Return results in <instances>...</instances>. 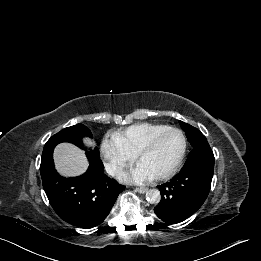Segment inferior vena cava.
Listing matches in <instances>:
<instances>
[{
    "label": "inferior vena cava",
    "mask_w": 261,
    "mask_h": 261,
    "mask_svg": "<svg viewBox=\"0 0 261 261\" xmlns=\"http://www.w3.org/2000/svg\"><path fill=\"white\" fill-rule=\"evenodd\" d=\"M105 170L108 175L110 176H116L122 173V167L119 166L116 163H106L105 164Z\"/></svg>",
    "instance_id": "602c4592"
}]
</instances>
